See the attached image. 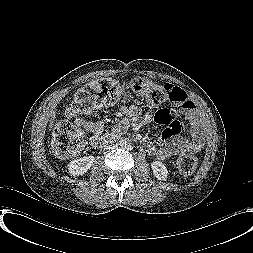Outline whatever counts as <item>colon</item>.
Segmentation results:
<instances>
[{"mask_svg":"<svg viewBox=\"0 0 253 253\" xmlns=\"http://www.w3.org/2000/svg\"><path fill=\"white\" fill-rule=\"evenodd\" d=\"M131 88L145 97L149 106L156 107L165 101H174L175 89L171 85L159 84L144 78L131 81ZM128 96V87L118 80L100 79L83 87L68 108V114L90 113L103 106L114 105L124 101ZM85 146V138L71 123H60L52 138L54 154L60 158H69L80 153ZM179 171L190 175L196 167V159L185 155L177 161Z\"/></svg>","mask_w":253,"mask_h":253,"instance_id":"obj_1","label":"colon"}]
</instances>
